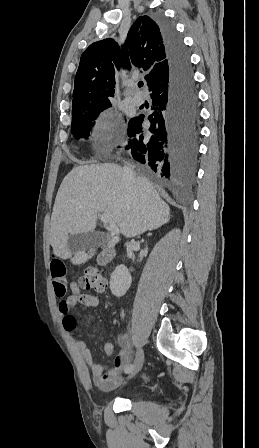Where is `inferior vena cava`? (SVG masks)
Instances as JSON below:
<instances>
[{
  "instance_id": "1",
  "label": "inferior vena cava",
  "mask_w": 259,
  "mask_h": 448,
  "mask_svg": "<svg viewBox=\"0 0 259 448\" xmlns=\"http://www.w3.org/2000/svg\"><path fill=\"white\" fill-rule=\"evenodd\" d=\"M136 174L133 172L132 168H129V164L127 166H124L123 168V184L126 186V188H132L134 182H135Z\"/></svg>"
}]
</instances>
